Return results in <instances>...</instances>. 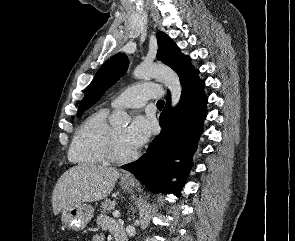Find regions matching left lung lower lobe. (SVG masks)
Listing matches in <instances>:
<instances>
[{
  "instance_id": "0a47b994",
  "label": "left lung lower lobe",
  "mask_w": 295,
  "mask_h": 241,
  "mask_svg": "<svg viewBox=\"0 0 295 241\" xmlns=\"http://www.w3.org/2000/svg\"><path fill=\"white\" fill-rule=\"evenodd\" d=\"M197 74L183 83L181 99L174 110L168 92L167 104L159 118L161 133L143 156L122 166L154 193H173L179 197L193 166L192 156L203 131L208 101L205 83ZM175 159L180 162H174ZM173 176L178 178L177 182L171 181Z\"/></svg>"
}]
</instances>
